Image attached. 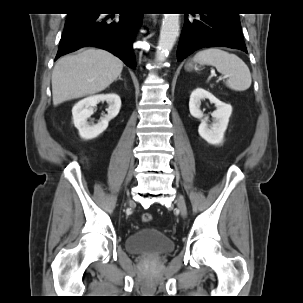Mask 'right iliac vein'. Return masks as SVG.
Listing matches in <instances>:
<instances>
[{
	"label": "right iliac vein",
	"instance_id": "1",
	"mask_svg": "<svg viewBox=\"0 0 303 303\" xmlns=\"http://www.w3.org/2000/svg\"><path fill=\"white\" fill-rule=\"evenodd\" d=\"M130 202H131V199L128 200V203H130Z\"/></svg>",
	"mask_w": 303,
	"mask_h": 303
}]
</instances>
